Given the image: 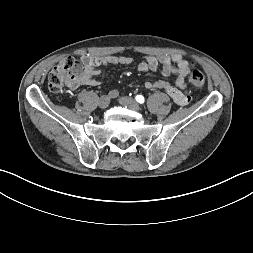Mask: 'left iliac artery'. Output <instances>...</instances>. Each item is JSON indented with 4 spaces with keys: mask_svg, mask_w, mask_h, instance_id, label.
<instances>
[{
    "mask_svg": "<svg viewBox=\"0 0 253 253\" xmlns=\"http://www.w3.org/2000/svg\"><path fill=\"white\" fill-rule=\"evenodd\" d=\"M136 101L139 103H144L145 99L142 95H137L136 96Z\"/></svg>",
    "mask_w": 253,
    "mask_h": 253,
    "instance_id": "left-iliac-artery-1",
    "label": "left iliac artery"
}]
</instances>
